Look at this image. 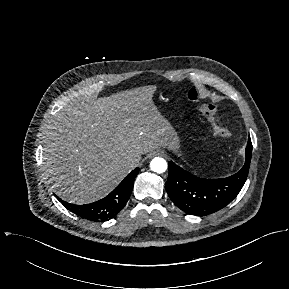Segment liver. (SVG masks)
Listing matches in <instances>:
<instances>
[{
  "mask_svg": "<svg viewBox=\"0 0 289 289\" xmlns=\"http://www.w3.org/2000/svg\"><path fill=\"white\" fill-rule=\"evenodd\" d=\"M155 86L75 101L43 132L45 172L54 191L84 204L106 195L142 154L175 150L177 134L153 102ZM127 158L136 159L134 166Z\"/></svg>",
  "mask_w": 289,
  "mask_h": 289,
  "instance_id": "6515ba94",
  "label": "liver"
}]
</instances>
